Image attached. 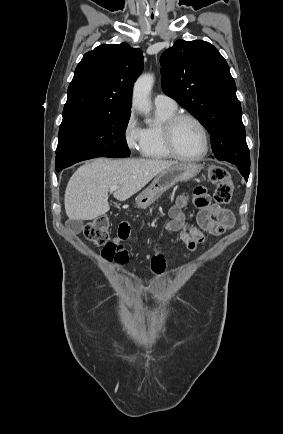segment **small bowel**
Instances as JSON below:
<instances>
[{
	"label": "small bowel",
	"mask_w": 283,
	"mask_h": 434,
	"mask_svg": "<svg viewBox=\"0 0 283 434\" xmlns=\"http://www.w3.org/2000/svg\"><path fill=\"white\" fill-rule=\"evenodd\" d=\"M193 201L199 209L195 225L187 223L183 212V209L190 202V196L187 193L179 195L171 207L169 212L171 221L168 225L172 231L180 233L181 240L191 252H195L199 246L206 242V234L220 236L232 228L235 222L234 215L230 210L210 203L205 187L199 186L194 190ZM129 236V224L122 222L119 225L117 236L103 249L102 258L107 262L114 261L117 266L124 265L128 260V251L121 243ZM151 262L153 273L160 275L165 268V260L158 250Z\"/></svg>",
	"instance_id": "obj_1"
}]
</instances>
